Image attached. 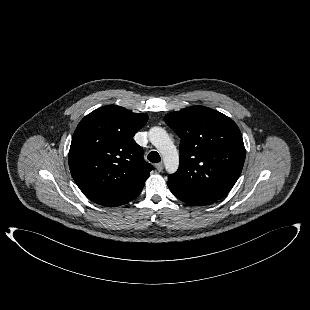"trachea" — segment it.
<instances>
[{
  "mask_svg": "<svg viewBox=\"0 0 310 310\" xmlns=\"http://www.w3.org/2000/svg\"><path fill=\"white\" fill-rule=\"evenodd\" d=\"M148 160L152 163H158L161 161V158H160V155L158 152L156 151H151L149 154H148Z\"/></svg>",
  "mask_w": 310,
  "mask_h": 310,
  "instance_id": "3493384b",
  "label": "trachea"
}]
</instances>
